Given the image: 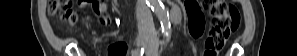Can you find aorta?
Listing matches in <instances>:
<instances>
[{
  "label": "aorta",
  "instance_id": "obj_1",
  "mask_svg": "<svg viewBox=\"0 0 297 56\" xmlns=\"http://www.w3.org/2000/svg\"><path fill=\"white\" fill-rule=\"evenodd\" d=\"M150 5L158 20L160 21L162 31L165 33L171 32V23L168 10L165 8L161 0H149Z\"/></svg>",
  "mask_w": 297,
  "mask_h": 56
}]
</instances>
